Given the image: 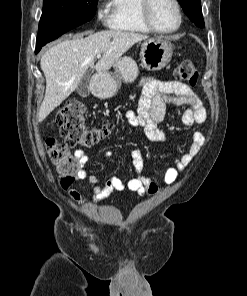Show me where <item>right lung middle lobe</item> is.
<instances>
[{
	"instance_id": "dd1d6c3e",
	"label": "right lung middle lobe",
	"mask_w": 247,
	"mask_h": 296,
	"mask_svg": "<svg viewBox=\"0 0 247 296\" xmlns=\"http://www.w3.org/2000/svg\"><path fill=\"white\" fill-rule=\"evenodd\" d=\"M98 0H44L36 50L70 29L91 20Z\"/></svg>"
}]
</instances>
